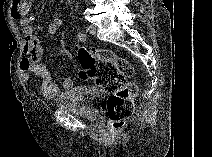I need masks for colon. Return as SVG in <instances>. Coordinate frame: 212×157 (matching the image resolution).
I'll return each instance as SVG.
<instances>
[{
  "label": "colon",
  "mask_w": 212,
  "mask_h": 157,
  "mask_svg": "<svg viewBox=\"0 0 212 157\" xmlns=\"http://www.w3.org/2000/svg\"><path fill=\"white\" fill-rule=\"evenodd\" d=\"M81 67L79 77L93 79L108 92L107 114L113 131L120 129L133 113V99L138 85L132 80L134 69L125 59L111 50L77 48Z\"/></svg>",
  "instance_id": "1"
}]
</instances>
